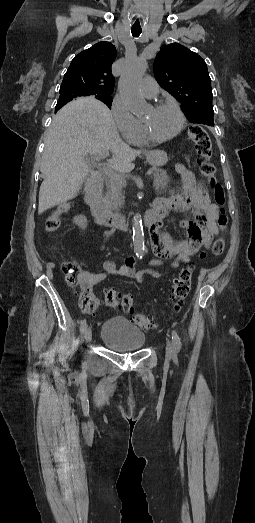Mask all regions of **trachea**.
<instances>
[{"mask_svg": "<svg viewBox=\"0 0 255 523\" xmlns=\"http://www.w3.org/2000/svg\"><path fill=\"white\" fill-rule=\"evenodd\" d=\"M141 32H142V28H137V27L131 28V33H132L133 37H135V38L139 37Z\"/></svg>", "mask_w": 255, "mask_h": 523, "instance_id": "1", "label": "trachea"}]
</instances>
